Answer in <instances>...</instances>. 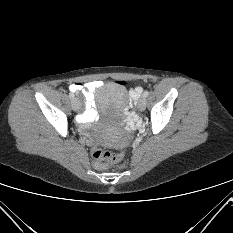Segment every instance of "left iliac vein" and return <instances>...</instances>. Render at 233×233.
Returning <instances> with one entry per match:
<instances>
[{"instance_id": "obj_1", "label": "left iliac vein", "mask_w": 233, "mask_h": 233, "mask_svg": "<svg viewBox=\"0 0 233 233\" xmlns=\"http://www.w3.org/2000/svg\"><path fill=\"white\" fill-rule=\"evenodd\" d=\"M137 108L140 111H144L146 108V98L142 96L137 102Z\"/></svg>"}]
</instances>
